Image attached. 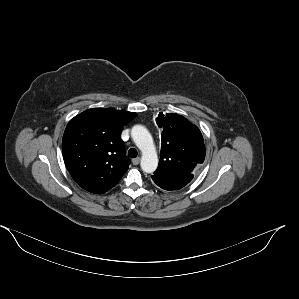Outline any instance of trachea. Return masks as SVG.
Here are the masks:
<instances>
[{"instance_id":"obj_1","label":"trachea","mask_w":299,"mask_h":299,"mask_svg":"<svg viewBox=\"0 0 299 299\" xmlns=\"http://www.w3.org/2000/svg\"><path fill=\"white\" fill-rule=\"evenodd\" d=\"M138 153H137V150L134 149V148H130L129 151H128V156L130 158H135L137 157Z\"/></svg>"}]
</instances>
